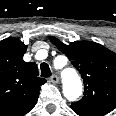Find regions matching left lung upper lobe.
<instances>
[{"label":"left lung upper lobe","mask_w":116,"mask_h":116,"mask_svg":"<svg viewBox=\"0 0 116 116\" xmlns=\"http://www.w3.org/2000/svg\"><path fill=\"white\" fill-rule=\"evenodd\" d=\"M50 41L63 52L80 72L84 97L71 106L110 112L116 108V54L92 41L64 44L55 37Z\"/></svg>","instance_id":"left-lung-upper-lobe-1"}]
</instances>
